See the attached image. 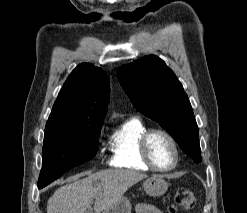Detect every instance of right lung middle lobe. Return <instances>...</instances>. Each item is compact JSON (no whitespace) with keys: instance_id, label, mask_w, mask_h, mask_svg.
<instances>
[{"instance_id":"obj_1","label":"right lung middle lobe","mask_w":247,"mask_h":213,"mask_svg":"<svg viewBox=\"0 0 247 213\" xmlns=\"http://www.w3.org/2000/svg\"><path fill=\"white\" fill-rule=\"evenodd\" d=\"M101 127H46L38 188L45 187L67 170L91 160L98 150Z\"/></svg>"}]
</instances>
